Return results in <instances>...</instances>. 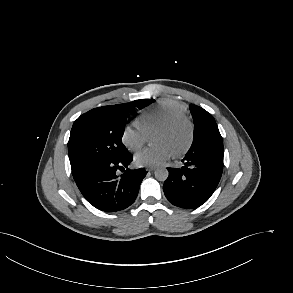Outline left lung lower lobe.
Listing matches in <instances>:
<instances>
[{
  "label": "left lung lower lobe",
  "instance_id": "1",
  "mask_svg": "<svg viewBox=\"0 0 293 293\" xmlns=\"http://www.w3.org/2000/svg\"><path fill=\"white\" fill-rule=\"evenodd\" d=\"M182 168H167L163 190L175 206L192 209L204 204L215 191L223 172V151L200 146L185 155Z\"/></svg>",
  "mask_w": 293,
  "mask_h": 293
}]
</instances>
